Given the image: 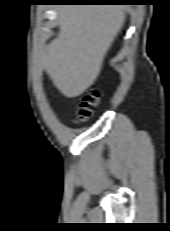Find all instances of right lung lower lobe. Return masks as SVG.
<instances>
[{
  "instance_id": "obj_1",
  "label": "right lung lower lobe",
  "mask_w": 170,
  "mask_h": 231,
  "mask_svg": "<svg viewBox=\"0 0 170 231\" xmlns=\"http://www.w3.org/2000/svg\"><path fill=\"white\" fill-rule=\"evenodd\" d=\"M56 3H120L125 0H51Z\"/></svg>"
}]
</instances>
